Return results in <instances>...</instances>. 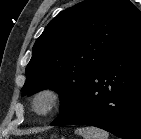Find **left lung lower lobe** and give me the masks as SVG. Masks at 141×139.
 Instances as JSON below:
<instances>
[{"label":"left lung lower lobe","instance_id":"left-lung-lower-lobe-1","mask_svg":"<svg viewBox=\"0 0 141 139\" xmlns=\"http://www.w3.org/2000/svg\"><path fill=\"white\" fill-rule=\"evenodd\" d=\"M69 124L141 139V30L89 74L73 103L51 123Z\"/></svg>","mask_w":141,"mask_h":139}]
</instances>
